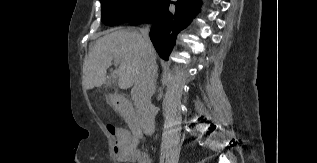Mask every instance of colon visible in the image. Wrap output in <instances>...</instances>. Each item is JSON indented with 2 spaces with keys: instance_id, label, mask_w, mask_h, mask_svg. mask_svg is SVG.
Returning <instances> with one entry per match:
<instances>
[{
  "instance_id": "5ec220e1",
  "label": "colon",
  "mask_w": 317,
  "mask_h": 163,
  "mask_svg": "<svg viewBox=\"0 0 317 163\" xmlns=\"http://www.w3.org/2000/svg\"><path fill=\"white\" fill-rule=\"evenodd\" d=\"M109 131L112 133V134H115V129L114 128H109Z\"/></svg>"
}]
</instances>
